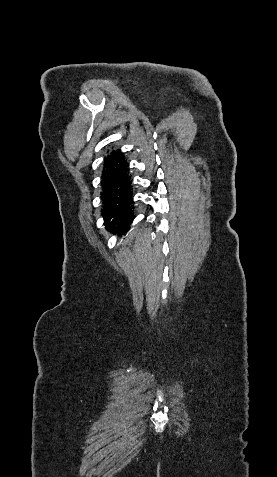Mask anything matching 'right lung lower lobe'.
I'll list each match as a JSON object with an SVG mask.
<instances>
[{
    "label": "right lung lower lobe",
    "mask_w": 277,
    "mask_h": 477,
    "mask_svg": "<svg viewBox=\"0 0 277 477\" xmlns=\"http://www.w3.org/2000/svg\"><path fill=\"white\" fill-rule=\"evenodd\" d=\"M127 167L121 152L112 151L105 157L102 172L104 224L108 230L119 234H125L135 218L132 215L131 177Z\"/></svg>",
    "instance_id": "98d812e1"
}]
</instances>
